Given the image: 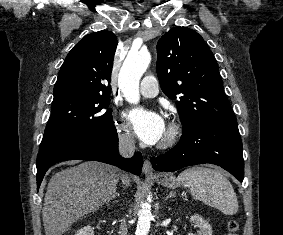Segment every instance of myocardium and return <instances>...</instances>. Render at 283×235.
<instances>
[{"label": "myocardium", "instance_id": "myocardium-1", "mask_svg": "<svg viewBox=\"0 0 283 235\" xmlns=\"http://www.w3.org/2000/svg\"><path fill=\"white\" fill-rule=\"evenodd\" d=\"M181 134V126L176 122L169 124L164 138L158 145L160 149H166L173 146Z\"/></svg>", "mask_w": 283, "mask_h": 235}]
</instances>
